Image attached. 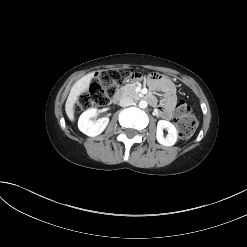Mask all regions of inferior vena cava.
<instances>
[{
    "mask_svg": "<svg viewBox=\"0 0 247 247\" xmlns=\"http://www.w3.org/2000/svg\"><path fill=\"white\" fill-rule=\"evenodd\" d=\"M133 104V99L130 96L123 95L120 99L119 105L121 107H127Z\"/></svg>",
    "mask_w": 247,
    "mask_h": 247,
    "instance_id": "obj_1",
    "label": "inferior vena cava"
}]
</instances>
